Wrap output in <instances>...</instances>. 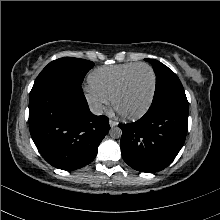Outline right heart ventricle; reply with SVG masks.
Returning <instances> with one entry per match:
<instances>
[{"mask_svg":"<svg viewBox=\"0 0 220 220\" xmlns=\"http://www.w3.org/2000/svg\"><path fill=\"white\" fill-rule=\"evenodd\" d=\"M138 63H124L99 67L88 76V84L91 89L108 100L119 85L124 75Z\"/></svg>","mask_w":220,"mask_h":220,"instance_id":"obj_1","label":"right heart ventricle"}]
</instances>
